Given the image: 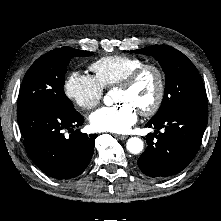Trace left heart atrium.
Here are the masks:
<instances>
[{"mask_svg":"<svg viewBox=\"0 0 221 221\" xmlns=\"http://www.w3.org/2000/svg\"><path fill=\"white\" fill-rule=\"evenodd\" d=\"M137 121V110L128 102L102 107L90 116L92 127L97 131L125 133Z\"/></svg>","mask_w":221,"mask_h":221,"instance_id":"obj_1","label":"left heart atrium"}]
</instances>
